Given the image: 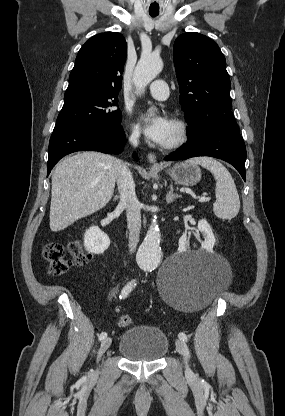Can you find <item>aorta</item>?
I'll return each mask as SVG.
<instances>
[{
	"label": "aorta",
	"mask_w": 285,
	"mask_h": 416,
	"mask_svg": "<svg viewBox=\"0 0 285 416\" xmlns=\"http://www.w3.org/2000/svg\"><path fill=\"white\" fill-rule=\"evenodd\" d=\"M162 68L163 62L160 57L154 55L142 56L133 74L136 93H142L146 86L161 72ZM136 261L138 266L144 271H152L160 264V230L156 216L152 218L144 241L139 247Z\"/></svg>",
	"instance_id": "762f6f07"
}]
</instances>
